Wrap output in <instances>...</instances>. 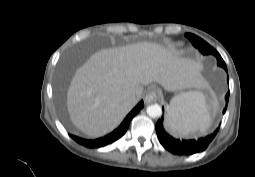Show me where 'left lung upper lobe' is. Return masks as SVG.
Listing matches in <instances>:
<instances>
[{"mask_svg": "<svg viewBox=\"0 0 255 177\" xmlns=\"http://www.w3.org/2000/svg\"><path fill=\"white\" fill-rule=\"evenodd\" d=\"M185 36L191 41V43L198 48V50L203 54V55H209L212 54L217 58V64L218 66L223 67L227 71L226 64L220 54L213 48L211 47L207 42H205L203 39L199 38L198 36L191 34V33H186Z\"/></svg>", "mask_w": 255, "mask_h": 177, "instance_id": "obj_1", "label": "left lung upper lobe"}]
</instances>
